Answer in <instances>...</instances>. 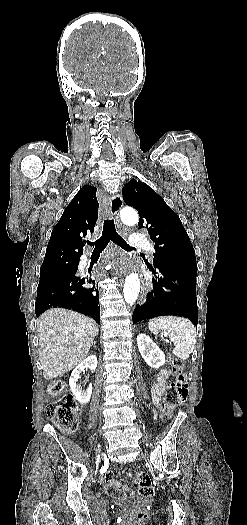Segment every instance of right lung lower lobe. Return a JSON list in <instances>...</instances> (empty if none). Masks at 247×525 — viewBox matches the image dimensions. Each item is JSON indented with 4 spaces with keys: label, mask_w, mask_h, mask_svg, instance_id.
Instances as JSON below:
<instances>
[{
    "label": "right lung lower lobe",
    "mask_w": 247,
    "mask_h": 525,
    "mask_svg": "<svg viewBox=\"0 0 247 525\" xmlns=\"http://www.w3.org/2000/svg\"><path fill=\"white\" fill-rule=\"evenodd\" d=\"M76 272L77 270L39 281L35 302L36 317L47 309L61 307L84 313L100 323L98 290L94 287H82L85 283L95 282L90 278L76 276Z\"/></svg>",
    "instance_id": "right-lung-lower-lobe-1"
}]
</instances>
